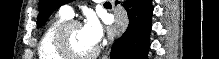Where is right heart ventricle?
Wrapping results in <instances>:
<instances>
[{
    "label": "right heart ventricle",
    "mask_w": 219,
    "mask_h": 59,
    "mask_svg": "<svg viewBox=\"0 0 219 59\" xmlns=\"http://www.w3.org/2000/svg\"><path fill=\"white\" fill-rule=\"evenodd\" d=\"M67 20L69 17L59 12L45 25L37 46L39 59H65L55 49V36L59 27Z\"/></svg>",
    "instance_id": "e07e8e85"
}]
</instances>
